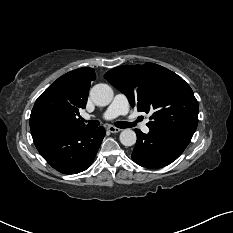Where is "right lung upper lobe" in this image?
I'll return each instance as SVG.
<instances>
[{
	"instance_id": "cb5924a9",
	"label": "right lung upper lobe",
	"mask_w": 233,
	"mask_h": 233,
	"mask_svg": "<svg viewBox=\"0 0 233 233\" xmlns=\"http://www.w3.org/2000/svg\"><path fill=\"white\" fill-rule=\"evenodd\" d=\"M94 69L79 68L59 77L36 100L30 115V130L40 128H85L76 116L84 109Z\"/></svg>"
}]
</instances>
